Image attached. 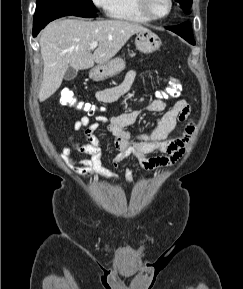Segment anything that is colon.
I'll return each instance as SVG.
<instances>
[{
	"mask_svg": "<svg viewBox=\"0 0 243 289\" xmlns=\"http://www.w3.org/2000/svg\"><path fill=\"white\" fill-rule=\"evenodd\" d=\"M181 89L180 82L175 78H171L166 87L159 92V97L161 99H175L180 96ZM59 102L63 106L74 107L89 115L95 112V107L92 104L78 100L74 92L69 88H64L61 91Z\"/></svg>",
	"mask_w": 243,
	"mask_h": 289,
	"instance_id": "colon-1",
	"label": "colon"
}]
</instances>
